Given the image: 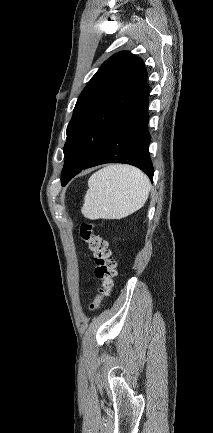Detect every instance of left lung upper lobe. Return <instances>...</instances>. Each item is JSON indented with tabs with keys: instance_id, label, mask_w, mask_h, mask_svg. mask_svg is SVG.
Segmentation results:
<instances>
[{
	"instance_id": "left-lung-upper-lobe-1",
	"label": "left lung upper lobe",
	"mask_w": 213,
	"mask_h": 433,
	"mask_svg": "<svg viewBox=\"0 0 213 433\" xmlns=\"http://www.w3.org/2000/svg\"><path fill=\"white\" fill-rule=\"evenodd\" d=\"M146 82L143 60L128 51L112 55L101 65L81 92L67 127L63 186L96 154Z\"/></svg>"
}]
</instances>
